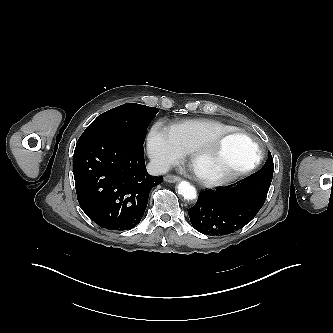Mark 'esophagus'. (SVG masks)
<instances>
[{"mask_svg":"<svg viewBox=\"0 0 333 333\" xmlns=\"http://www.w3.org/2000/svg\"><path fill=\"white\" fill-rule=\"evenodd\" d=\"M164 180L166 182H170V183H174V182H178L180 180V177L176 176V175H166L164 177Z\"/></svg>","mask_w":333,"mask_h":333,"instance_id":"1","label":"esophagus"}]
</instances>
